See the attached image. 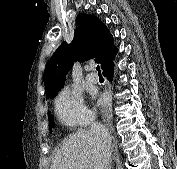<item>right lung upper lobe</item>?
Segmentation results:
<instances>
[{
	"label": "right lung upper lobe",
	"instance_id": "1",
	"mask_svg": "<svg viewBox=\"0 0 177 169\" xmlns=\"http://www.w3.org/2000/svg\"><path fill=\"white\" fill-rule=\"evenodd\" d=\"M77 27L72 44L63 42L49 61L45 73L44 84L46 98L57 95L65 83L66 75L75 61L84 62L98 57L102 70L113 63L118 49L114 46L113 36L106 25L95 15L81 13L77 16Z\"/></svg>",
	"mask_w": 177,
	"mask_h": 169
}]
</instances>
